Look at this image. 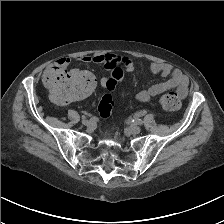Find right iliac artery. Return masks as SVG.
Masks as SVG:
<instances>
[{
	"instance_id": "82829eb1",
	"label": "right iliac artery",
	"mask_w": 224,
	"mask_h": 224,
	"mask_svg": "<svg viewBox=\"0 0 224 224\" xmlns=\"http://www.w3.org/2000/svg\"><path fill=\"white\" fill-rule=\"evenodd\" d=\"M90 121H91L92 123H96L97 118H96V117H92V118H90Z\"/></svg>"
}]
</instances>
